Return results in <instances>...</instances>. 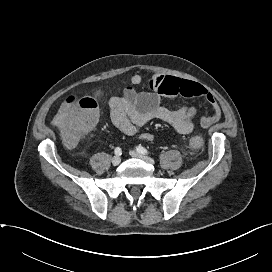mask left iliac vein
Segmentation results:
<instances>
[{
    "mask_svg": "<svg viewBox=\"0 0 272 272\" xmlns=\"http://www.w3.org/2000/svg\"><path fill=\"white\" fill-rule=\"evenodd\" d=\"M130 155L132 157L142 159V160H144L145 162H147L149 164H154L155 163L154 160L151 157H148L146 155L140 154L137 151H130Z\"/></svg>",
    "mask_w": 272,
    "mask_h": 272,
    "instance_id": "left-iliac-vein-1",
    "label": "left iliac vein"
}]
</instances>
